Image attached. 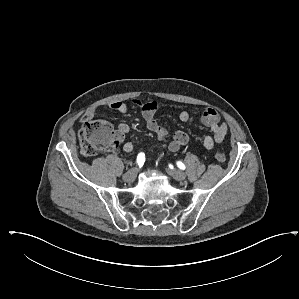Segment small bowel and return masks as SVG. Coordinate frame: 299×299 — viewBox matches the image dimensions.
<instances>
[{
	"instance_id": "obj_1",
	"label": "small bowel",
	"mask_w": 299,
	"mask_h": 299,
	"mask_svg": "<svg viewBox=\"0 0 299 299\" xmlns=\"http://www.w3.org/2000/svg\"><path fill=\"white\" fill-rule=\"evenodd\" d=\"M134 104L141 108L147 128L155 134L157 138L164 139L168 135V130L165 126L159 124L155 117L156 111L162 102L154 100L142 103L139 100H134ZM108 108L118 113H125L127 111V105L121 101L111 103ZM97 112L98 107L90 108L83 114L81 118L82 122L93 119ZM179 118L184 123L197 122L210 129L212 134L205 136L203 140L204 147L208 150L212 149L215 143L222 142L228 132L227 124L221 121V115L212 108L204 109L199 117H195L189 110H183L180 112ZM129 131L130 126L127 123H120L117 127V141L123 142ZM188 141L189 136L187 133L184 131H176L165 148L175 152L185 146ZM123 150L126 153H131L134 150V146L132 143L126 142L123 145Z\"/></svg>"
}]
</instances>
